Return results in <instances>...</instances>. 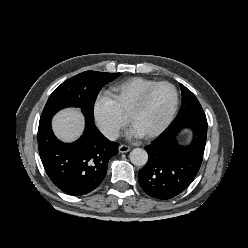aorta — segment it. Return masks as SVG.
I'll list each match as a JSON object with an SVG mask.
<instances>
[{
	"instance_id": "1",
	"label": "aorta",
	"mask_w": 248,
	"mask_h": 248,
	"mask_svg": "<svg viewBox=\"0 0 248 248\" xmlns=\"http://www.w3.org/2000/svg\"><path fill=\"white\" fill-rule=\"evenodd\" d=\"M130 161L136 166H143L147 163L148 154L142 148H135L130 152Z\"/></svg>"
}]
</instances>
